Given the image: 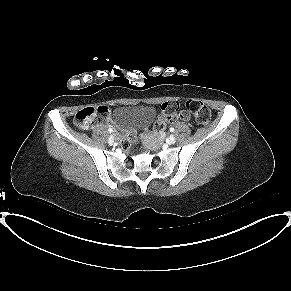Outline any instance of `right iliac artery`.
<instances>
[{"mask_svg":"<svg viewBox=\"0 0 291 291\" xmlns=\"http://www.w3.org/2000/svg\"><path fill=\"white\" fill-rule=\"evenodd\" d=\"M108 131L111 133L113 130L111 128H109Z\"/></svg>","mask_w":291,"mask_h":291,"instance_id":"1","label":"right iliac artery"}]
</instances>
